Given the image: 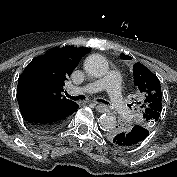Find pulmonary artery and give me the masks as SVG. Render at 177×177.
<instances>
[{
  "label": "pulmonary artery",
  "mask_w": 177,
  "mask_h": 177,
  "mask_svg": "<svg viewBox=\"0 0 177 177\" xmlns=\"http://www.w3.org/2000/svg\"><path fill=\"white\" fill-rule=\"evenodd\" d=\"M121 75L118 71L112 70L107 77L99 79L95 82L86 84L83 87L72 88L70 93L83 94V93H97L103 89L108 90V99L111 105L118 111L126 112L124 106V99L120 88Z\"/></svg>",
  "instance_id": "1"
}]
</instances>
